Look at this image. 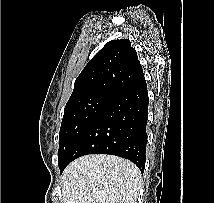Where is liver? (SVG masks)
<instances>
[{
	"mask_svg": "<svg viewBox=\"0 0 214 203\" xmlns=\"http://www.w3.org/2000/svg\"><path fill=\"white\" fill-rule=\"evenodd\" d=\"M61 186L62 203H137L141 173L117 156L86 155L67 166Z\"/></svg>",
	"mask_w": 214,
	"mask_h": 203,
	"instance_id": "6515ba94",
	"label": "liver"
}]
</instances>
